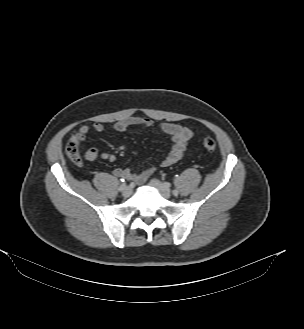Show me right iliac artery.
Returning a JSON list of instances; mask_svg holds the SVG:
<instances>
[{
  "label": "right iliac artery",
  "mask_w": 304,
  "mask_h": 329,
  "mask_svg": "<svg viewBox=\"0 0 304 329\" xmlns=\"http://www.w3.org/2000/svg\"><path fill=\"white\" fill-rule=\"evenodd\" d=\"M125 186H126V183L123 182V183L121 184V186L119 187V191L122 192Z\"/></svg>",
  "instance_id": "right-iliac-artery-1"
}]
</instances>
